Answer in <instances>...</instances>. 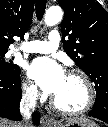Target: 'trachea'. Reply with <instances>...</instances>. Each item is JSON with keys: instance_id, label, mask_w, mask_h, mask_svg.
<instances>
[{"instance_id": "trachea-1", "label": "trachea", "mask_w": 108, "mask_h": 127, "mask_svg": "<svg viewBox=\"0 0 108 127\" xmlns=\"http://www.w3.org/2000/svg\"><path fill=\"white\" fill-rule=\"evenodd\" d=\"M46 8V0H36V16L39 21L42 20Z\"/></svg>"}]
</instances>
